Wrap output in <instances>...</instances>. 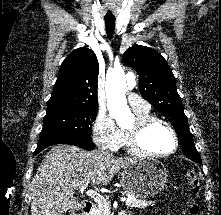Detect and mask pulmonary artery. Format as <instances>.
<instances>
[{"mask_svg": "<svg viewBox=\"0 0 221 215\" xmlns=\"http://www.w3.org/2000/svg\"><path fill=\"white\" fill-rule=\"evenodd\" d=\"M128 103L134 112L149 111V104L139 95L130 93L128 95Z\"/></svg>", "mask_w": 221, "mask_h": 215, "instance_id": "obj_1", "label": "pulmonary artery"}]
</instances>
